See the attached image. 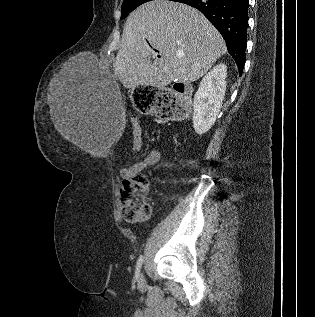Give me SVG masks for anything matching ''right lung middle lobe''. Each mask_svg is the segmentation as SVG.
Returning <instances> with one entry per match:
<instances>
[{"label":"right lung middle lobe","instance_id":"dd1d6c3e","mask_svg":"<svg viewBox=\"0 0 315 317\" xmlns=\"http://www.w3.org/2000/svg\"><path fill=\"white\" fill-rule=\"evenodd\" d=\"M152 0H124L122 4V15L121 19L125 18L131 11L140 6L143 3H146ZM175 1V0H172Z\"/></svg>","mask_w":315,"mask_h":317}]
</instances>
